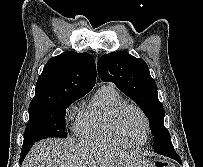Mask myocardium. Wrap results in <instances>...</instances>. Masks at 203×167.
Masks as SVG:
<instances>
[{"mask_svg": "<svg viewBox=\"0 0 203 167\" xmlns=\"http://www.w3.org/2000/svg\"><path fill=\"white\" fill-rule=\"evenodd\" d=\"M129 109H133V110L137 111L144 121L145 136H144L143 141L140 143H132V142L128 141L119 129V120H120L121 116L123 115V113ZM110 126H111L113 133L115 134V136L118 139H120L127 146L134 147V148H139V147L144 146L146 144V142L148 141V138L150 135V121H149L147 114L144 112V110L141 107H139L136 104H132V103H123L122 105H120L117 108V110L114 112V114L111 118Z\"/></svg>", "mask_w": 203, "mask_h": 167, "instance_id": "1", "label": "myocardium"}]
</instances>
